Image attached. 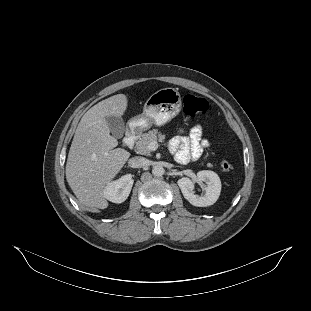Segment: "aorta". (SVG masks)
<instances>
[{
  "label": "aorta",
  "instance_id": "1",
  "mask_svg": "<svg viewBox=\"0 0 311 311\" xmlns=\"http://www.w3.org/2000/svg\"><path fill=\"white\" fill-rule=\"evenodd\" d=\"M152 174L155 177H161L165 174V169L163 166L156 165L152 169Z\"/></svg>",
  "mask_w": 311,
  "mask_h": 311
}]
</instances>
